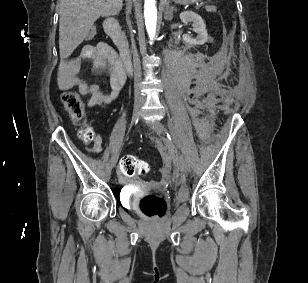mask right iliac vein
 <instances>
[{"mask_svg": "<svg viewBox=\"0 0 308 283\" xmlns=\"http://www.w3.org/2000/svg\"><path fill=\"white\" fill-rule=\"evenodd\" d=\"M141 104H142V99L137 97L135 100L134 110H133V117H132L133 122H135L138 119V111H139ZM118 157H119V154L117 153L115 156V163L117 162Z\"/></svg>", "mask_w": 308, "mask_h": 283, "instance_id": "1", "label": "right iliac vein"}]
</instances>
